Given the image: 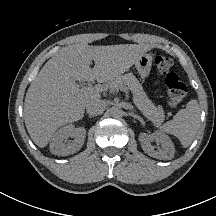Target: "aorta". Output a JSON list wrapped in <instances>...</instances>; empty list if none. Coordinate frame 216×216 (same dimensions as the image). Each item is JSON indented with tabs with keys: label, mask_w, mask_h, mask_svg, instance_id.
<instances>
[{
	"label": "aorta",
	"mask_w": 216,
	"mask_h": 216,
	"mask_svg": "<svg viewBox=\"0 0 216 216\" xmlns=\"http://www.w3.org/2000/svg\"><path fill=\"white\" fill-rule=\"evenodd\" d=\"M110 115L113 118H120L123 115V110L120 107H112L110 109Z\"/></svg>",
	"instance_id": "aorta-1"
}]
</instances>
